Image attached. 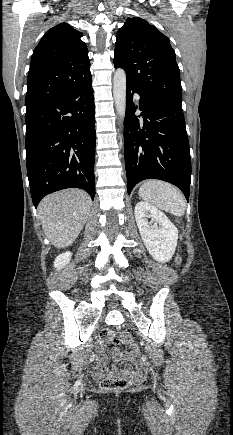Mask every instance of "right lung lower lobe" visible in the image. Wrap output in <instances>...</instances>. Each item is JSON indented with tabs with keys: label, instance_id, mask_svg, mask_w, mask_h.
<instances>
[{
	"label": "right lung lower lobe",
	"instance_id": "right-lung-lower-lobe-1",
	"mask_svg": "<svg viewBox=\"0 0 233 435\" xmlns=\"http://www.w3.org/2000/svg\"><path fill=\"white\" fill-rule=\"evenodd\" d=\"M91 73L26 110L27 175L33 204L49 193L81 188L95 196V117Z\"/></svg>",
	"mask_w": 233,
	"mask_h": 435
}]
</instances>
